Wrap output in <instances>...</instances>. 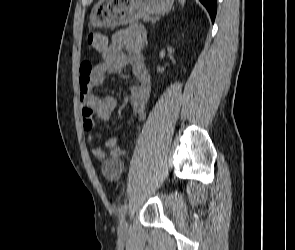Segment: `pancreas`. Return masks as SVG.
Listing matches in <instances>:
<instances>
[{"label": "pancreas", "instance_id": "pancreas-1", "mask_svg": "<svg viewBox=\"0 0 295 250\" xmlns=\"http://www.w3.org/2000/svg\"><path fill=\"white\" fill-rule=\"evenodd\" d=\"M153 21L154 19H152V18H150V17H148V16H146V17H144V21Z\"/></svg>", "mask_w": 295, "mask_h": 250}]
</instances>
